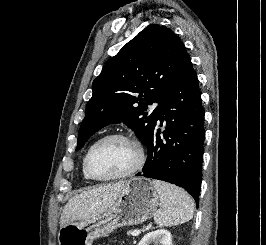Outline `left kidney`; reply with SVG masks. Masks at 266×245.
I'll return each instance as SVG.
<instances>
[{"mask_svg": "<svg viewBox=\"0 0 266 245\" xmlns=\"http://www.w3.org/2000/svg\"><path fill=\"white\" fill-rule=\"evenodd\" d=\"M172 235L166 229H158V231H152V233H147L138 245H151V243H156V245H172Z\"/></svg>", "mask_w": 266, "mask_h": 245, "instance_id": "obj_1", "label": "left kidney"}]
</instances>
